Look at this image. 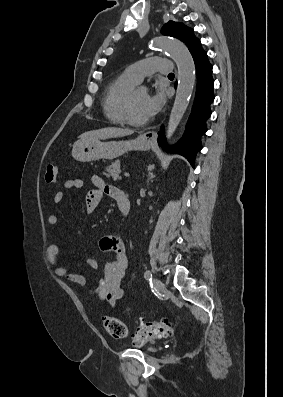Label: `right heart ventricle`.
I'll return each instance as SVG.
<instances>
[{"mask_svg": "<svg viewBox=\"0 0 283 397\" xmlns=\"http://www.w3.org/2000/svg\"><path fill=\"white\" fill-rule=\"evenodd\" d=\"M136 83L121 74L113 79L105 89L102 107L107 120L113 124H124V106L128 95Z\"/></svg>", "mask_w": 283, "mask_h": 397, "instance_id": "right-heart-ventricle-1", "label": "right heart ventricle"}]
</instances>
